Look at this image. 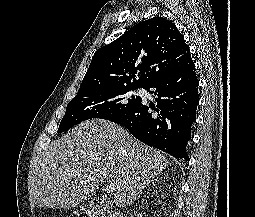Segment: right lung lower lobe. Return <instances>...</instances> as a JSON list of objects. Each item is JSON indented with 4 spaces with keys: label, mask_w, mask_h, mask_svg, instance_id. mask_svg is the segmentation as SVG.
<instances>
[{
    "label": "right lung lower lobe",
    "mask_w": 255,
    "mask_h": 217,
    "mask_svg": "<svg viewBox=\"0 0 255 217\" xmlns=\"http://www.w3.org/2000/svg\"><path fill=\"white\" fill-rule=\"evenodd\" d=\"M199 81L192 59L149 84L157 105L140 102L131 111L110 121L125 126L140 141L176 158L189 160L186 145L199 103ZM152 109L154 112H149Z\"/></svg>",
    "instance_id": "98d812e1"
}]
</instances>
